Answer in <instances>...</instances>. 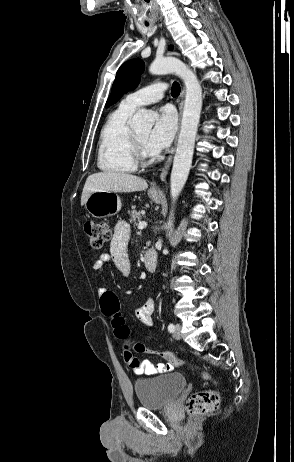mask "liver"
<instances>
[{
	"label": "liver",
	"instance_id": "liver-1",
	"mask_svg": "<svg viewBox=\"0 0 294 462\" xmlns=\"http://www.w3.org/2000/svg\"><path fill=\"white\" fill-rule=\"evenodd\" d=\"M148 187L146 180L141 177L114 171H104L90 175L84 185L81 195V205H85L92 192H135Z\"/></svg>",
	"mask_w": 294,
	"mask_h": 462
}]
</instances>
